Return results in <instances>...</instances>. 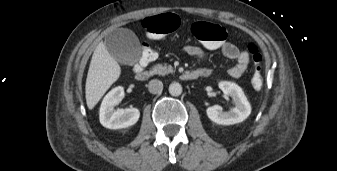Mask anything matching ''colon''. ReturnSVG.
<instances>
[{"label": "colon", "instance_id": "obj_1", "mask_svg": "<svg viewBox=\"0 0 337 171\" xmlns=\"http://www.w3.org/2000/svg\"><path fill=\"white\" fill-rule=\"evenodd\" d=\"M145 33L150 38H160L163 35L175 31L180 25V19L173 14H162L158 16L146 17L140 22ZM191 32L193 36L201 41L204 48L217 50L224 44L227 38L226 29L220 25L197 21L192 25ZM142 64H147L156 58L157 50L150 40H145L141 44ZM248 52L252 58L254 70L251 83L254 88L260 89L263 86V56L255 43L248 44Z\"/></svg>", "mask_w": 337, "mask_h": 171}]
</instances>
